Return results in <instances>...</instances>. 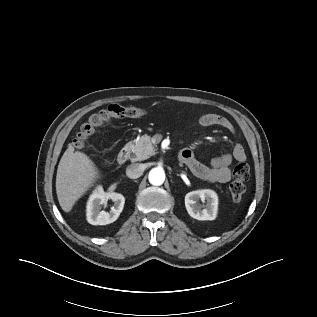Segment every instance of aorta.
Here are the masks:
<instances>
[{"label": "aorta", "instance_id": "1", "mask_svg": "<svg viewBox=\"0 0 317 317\" xmlns=\"http://www.w3.org/2000/svg\"><path fill=\"white\" fill-rule=\"evenodd\" d=\"M149 182L154 186H160L165 181V172L162 168L155 167L149 172Z\"/></svg>", "mask_w": 317, "mask_h": 317}]
</instances>
